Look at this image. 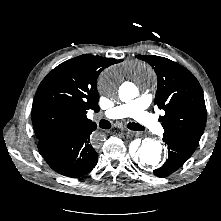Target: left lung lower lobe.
Returning <instances> with one entry per match:
<instances>
[{"label": "left lung lower lobe", "instance_id": "0a47b994", "mask_svg": "<svg viewBox=\"0 0 221 221\" xmlns=\"http://www.w3.org/2000/svg\"><path fill=\"white\" fill-rule=\"evenodd\" d=\"M163 141L168 145L169 154L164 165L153 171L158 177H166L179 169L197 147L194 143L175 137H163Z\"/></svg>", "mask_w": 221, "mask_h": 221}]
</instances>
